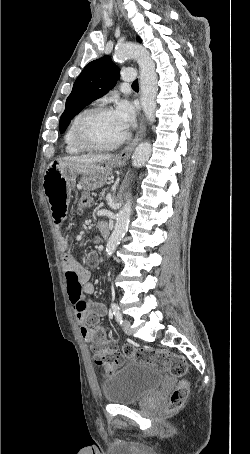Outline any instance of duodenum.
Listing matches in <instances>:
<instances>
[{
    "instance_id": "410a0bca",
    "label": "duodenum",
    "mask_w": 250,
    "mask_h": 454,
    "mask_svg": "<svg viewBox=\"0 0 250 454\" xmlns=\"http://www.w3.org/2000/svg\"><path fill=\"white\" fill-rule=\"evenodd\" d=\"M98 228H99L101 234H102L104 237H107V236H108V234H109V229H108V227H107L105 224L100 223L99 226H98Z\"/></svg>"
}]
</instances>
